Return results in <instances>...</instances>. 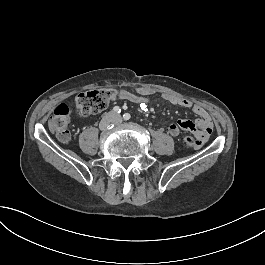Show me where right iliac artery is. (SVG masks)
Instances as JSON below:
<instances>
[{"mask_svg": "<svg viewBox=\"0 0 265 265\" xmlns=\"http://www.w3.org/2000/svg\"><path fill=\"white\" fill-rule=\"evenodd\" d=\"M113 112H114L115 114H120V113H121V109H120V107L115 106V107L113 108Z\"/></svg>", "mask_w": 265, "mask_h": 265, "instance_id": "82829eb1", "label": "right iliac artery"}]
</instances>
